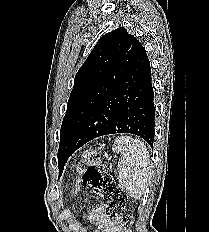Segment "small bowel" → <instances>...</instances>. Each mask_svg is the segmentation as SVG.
I'll return each instance as SVG.
<instances>
[{
    "instance_id": "small-bowel-1",
    "label": "small bowel",
    "mask_w": 209,
    "mask_h": 232,
    "mask_svg": "<svg viewBox=\"0 0 209 232\" xmlns=\"http://www.w3.org/2000/svg\"><path fill=\"white\" fill-rule=\"evenodd\" d=\"M91 223L100 227L96 232H122L119 222L112 220L105 212L103 206H98L89 213Z\"/></svg>"
}]
</instances>
